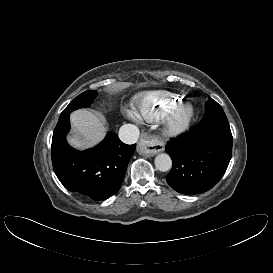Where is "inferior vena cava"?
<instances>
[{
  "label": "inferior vena cava",
  "mask_w": 273,
  "mask_h": 273,
  "mask_svg": "<svg viewBox=\"0 0 273 273\" xmlns=\"http://www.w3.org/2000/svg\"><path fill=\"white\" fill-rule=\"evenodd\" d=\"M140 132L133 124H124L119 129V138L126 144H134L138 141Z\"/></svg>",
  "instance_id": "obj_1"
}]
</instances>
